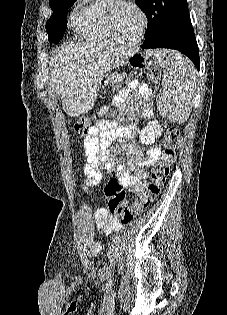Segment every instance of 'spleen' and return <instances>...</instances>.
Wrapping results in <instances>:
<instances>
[{
  "instance_id": "spleen-1",
  "label": "spleen",
  "mask_w": 227,
  "mask_h": 315,
  "mask_svg": "<svg viewBox=\"0 0 227 315\" xmlns=\"http://www.w3.org/2000/svg\"><path fill=\"white\" fill-rule=\"evenodd\" d=\"M150 55L163 69V88L157 108L165 118L182 123L190 115L195 96L196 76L190 61L171 50H154Z\"/></svg>"
}]
</instances>
